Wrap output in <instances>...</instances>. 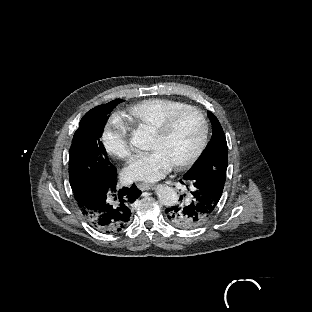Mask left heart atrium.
I'll use <instances>...</instances> for the list:
<instances>
[{
  "label": "left heart atrium",
  "mask_w": 312,
  "mask_h": 312,
  "mask_svg": "<svg viewBox=\"0 0 312 312\" xmlns=\"http://www.w3.org/2000/svg\"><path fill=\"white\" fill-rule=\"evenodd\" d=\"M174 166L168 156L158 149H149L146 156L139 157L126 166L125 176L134 184L160 181L173 172Z\"/></svg>",
  "instance_id": "1"
}]
</instances>
